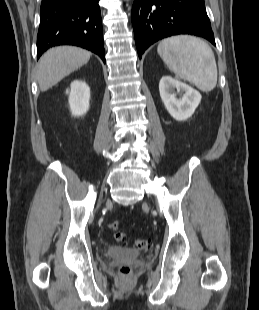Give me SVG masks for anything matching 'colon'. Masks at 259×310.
Instances as JSON below:
<instances>
[{"label": "colon", "mask_w": 259, "mask_h": 310, "mask_svg": "<svg viewBox=\"0 0 259 310\" xmlns=\"http://www.w3.org/2000/svg\"><path fill=\"white\" fill-rule=\"evenodd\" d=\"M109 228L114 230L113 238L115 241L120 242V243H126L127 242V236L123 232L118 230L119 222H117V221L110 222ZM150 246H151V242L148 240H144V239H138V240L134 241V243H133V247L136 250H147L150 248ZM120 272L123 275H128L131 272V268L128 265H123L120 268Z\"/></svg>", "instance_id": "1"}]
</instances>
